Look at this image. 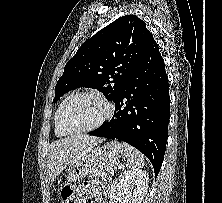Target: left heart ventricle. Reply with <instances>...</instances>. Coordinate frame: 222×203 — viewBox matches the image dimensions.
I'll list each match as a JSON object with an SVG mask.
<instances>
[{
  "mask_svg": "<svg viewBox=\"0 0 222 203\" xmlns=\"http://www.w3.org/2000/svg\"><path fill=\"white\" fill-rule=\"evenodd\" d=\"M105 114V106L96 98L79 97L68 106L65 120L74 128L89 127L97 123Z\"/></svg>",
  "mask_w": 222,
  "mask_h": 203,
  "instance_id": "obj_1",
  "label": "left heart ventricle"
}]
</instances>
